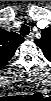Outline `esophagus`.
<instances>
[{"instance_id":"34e87169","label":"esophagus","mask_w":51,"mask_h":101,"mask_svg":"<svg viewBox=\"0 0 51 101\" xmlns=\"http://www.w3.org/2000/svg\"><path fill=\"white\" fill-rule=\"evenodd\" d=\"M33 38H34L33 33H30L28 36L25 37V39L29 41L33 40Z\"/></svg>"}]
</instances>
